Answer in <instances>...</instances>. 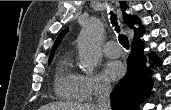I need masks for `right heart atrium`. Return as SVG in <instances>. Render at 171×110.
Returning a JSON list of instances; mask_svg holds the SVG:
<instances>
[{"label":"right heart atrium","instance_id":"d8ad5b80","mask_svg":"<svg viewBox=\"0 0 171 110\" xmlns=\"http://www.w3.org/2000/svg\"><path fill=\"white\" fill-rule=\"evenodd\" d=\"M86 99L94 98L108 89V83L97 74L80 75Z\"/></svg>","mask_w":171,"mask_h":110}]
</instances>
